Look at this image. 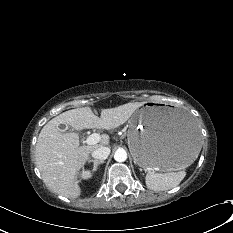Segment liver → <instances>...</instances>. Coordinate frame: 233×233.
Masks as SVG:
<instances>
[{"mask_svg":"<svg viewBox=\"0 0 233 233\" xmlns=\"http://www.w3.org/2000/svg\"><path fill=\"white\" fill-rule=\"evenodd\" d=\"M144 102L127 103L115 108L103 109L96 116L91 108L83 107L66 111L51 119L40 131L35 160L46 187L61 196L78 198L81 193L78 173L95 149L109 144V136L103 135L98 145L79 144L76 133H63L59 125L71 126L74 130H111L124 124Z\"/></svg>","mask_w":233,"mask_h":233,"instance_id":"6515ba94","label":"liver"}]
</instances>
